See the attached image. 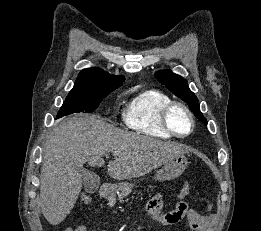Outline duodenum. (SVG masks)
<instances>
[{"instance_id": "410a0bca", "label": "duodenum", "mask_w": 261, "mask_h": 231, "mask_svg": "<svg viewBox=\"0 0 261 231\" xmlns=\"http://www.w3.org/2000/svg\"><path fill=\"white\" fill-rule=\"evenodd\" d=\"M113 191L112 187L109 185H102L99 189V195L101 197H107L108 195L111 194V192Z\"/></svg>"}]
</instances>
